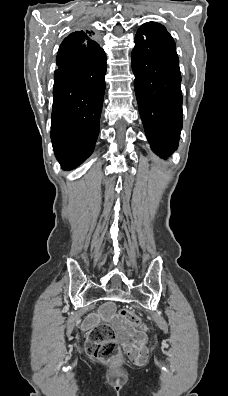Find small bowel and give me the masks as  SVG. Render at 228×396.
Returning <instances> with one entry per match:
<instances>
[{
	"label": "small bowel",
	"mask_w": 228,
	"mask_h": 396,
	"mask_svg": "<svg viewBox=\"0 0 228 396\" xmlns=\"http://www.w3.org/2000/svg\"><path fill=\"white\" fill-rule=\"evenodd\" d=\"M102 316L107 318L118 331L123 341L124 349L129 358L137 365L144 364L147 360L146 334L142 331H128L118 316L113 314V305L107 304L102 311ZM131 336V340L128 336Z\"/></svg>",
	"instance_id": "c3829d8e"
}]
</instances>
